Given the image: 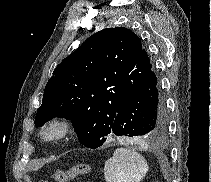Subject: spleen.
<instances>
[{
  "instance_id": "3e777b00",
  "label": "spleen",
  "mask_w": 211,
  "mask_h": 182,
  "mask_svg": "<svg viewBox=\"0 0 211 182\" xmlns=\"http://www.w3.org/2000/svg\"><path fill=\"white\" fill-rule=\"evenodd\" d=\"M148 171L145 158L129 148H118L105 162L106 182H140Z\"/></svg>"
}]
</instances>
